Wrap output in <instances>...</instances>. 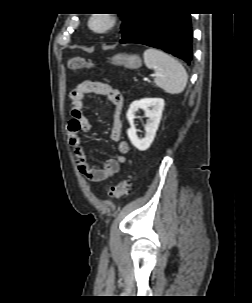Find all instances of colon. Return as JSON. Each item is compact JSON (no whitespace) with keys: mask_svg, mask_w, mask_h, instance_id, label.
<instances>
[{"mask_svg":"<svg viewBox=\"0 0 252 303\" xmlns=\"http://www.w3.org/2000/svg\"><path fill=\"white\" fill-rule=\"evenodd\" d=\"M68 68L71 70L78 69H91L93 68V64L91 61L85 58H72L68 61ZM130 189V180L123 179L118 184L106 187V193L108 197L112 199H118L127 194Z\"/></svg>","mask_w":252,"mask_h":303,"instance_id":"5ec220e1","label":"colon"}]
</instances>
